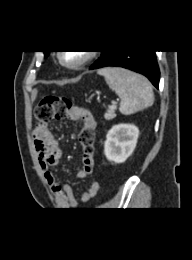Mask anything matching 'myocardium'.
Wrapping results in <instances>:
<instances>
[{
	"mask_svg": "<svg viewBox=\"0 0 192 260\" xmlns=\"http://www.w3.org/2000/svg\"><path fill=\"white\" fill-rule=\"evenodd\" d=\"M83 52H84V55L81 57V59H79L77 62H74V63H69V62L65 61L64 56H63L64 52H60L58 54V59H59L60 63L67 68L79 69L82 66L86 65L94 56V53L92 51H83Z\"/></svg>",
	"mask_w": 192,
	"mask_h": 260,
	"instance_id": "obj_1",
	"label": "myocardium"
}]
</instances>
